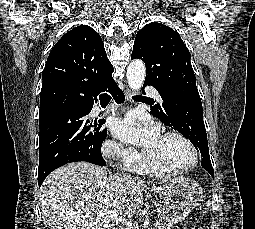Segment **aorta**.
<instances>
[{"instance_id": "aorta-1", "label": "aorta", "mask_w": 255, "mask_h": 229, "mask_svg": "<svg viewBox=\"0 0 255 229\" xmlns=\"http://www.w3.org/2000/svg\"><path fill=\"white\" fill-rule=\"evenodd\" d=\"M146 67L141 60H133L127 67V82L129 87L137 91L139 90L145 80Z\"/></svg>"}]
</instances>
